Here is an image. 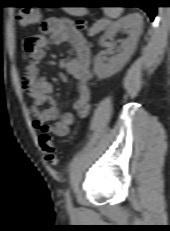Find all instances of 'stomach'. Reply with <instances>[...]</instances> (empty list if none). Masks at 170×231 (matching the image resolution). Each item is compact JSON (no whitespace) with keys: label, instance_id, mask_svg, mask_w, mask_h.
<instances>
[{"label":"stomach","instance_id":"0dacf381","mask_svg":"<svg viewBox=\"0 0 170 231\" xmlns=\"http://www.w3.org/2000/svg\"><path fill=\"white\" fill-rule=\"evenodd\" d=\"M63 9L73 15H82L85 13V8L83 7H64Z\"/></svg>","mask_w":170,"mask_h":231}]
</instances>
